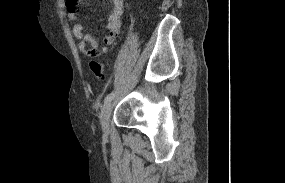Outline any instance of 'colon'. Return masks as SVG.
Here are the masks:
<instances>
[{
	"instance_id": "obj_1",
	"label": "colon",
	"mask_w": 285,
	"mask_h": 183,
	"mask_svg": "<svg viewBox=\"0 0 285 183\" xmlns=\"http://www.w3.org/2000/svg\"><path fill=\"white\" fill-rule=\"evenodd\" d=\"M74 1L78 0H66L67 6L70 10H76L75 5L73 4ZM90 70L93 76L100 81H104L106 79L104 65L97 61H91L89 64Z\"/></svg>"
}]
</instances>
